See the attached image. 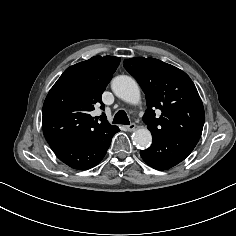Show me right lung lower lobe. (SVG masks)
I'll list each match as a JSON object with an SVG mask.
<instances>
[{
	"mask_svg": "<svg viewBox=\"0 0 236 236\" xmlns=\"http://www.w3.org/2000/svg\"><path fill=\"white\" fill-rule=\"evenodd\" d=\"M118 127L91 140L49 143L56 156L73 169L85 170L96 166L105 156Z\"/></svg>",
	"mask_w": 236,
	"mask_h": 236,
	"instance_id": "obj_1",
	"label": "right lung lower lobe"
}]
</instances>
